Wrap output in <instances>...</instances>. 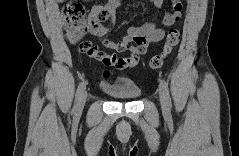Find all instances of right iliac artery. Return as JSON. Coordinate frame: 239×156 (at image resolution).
Wrapping results in <instances>:
<instances>
[{
  "mask_svg": "<svg viewBox=\"0 0 239 156\" xmlns=\"http://www.w3.org/2000/svg\"><path fill=\"white\" fill-rule=\"evenodd\" d=\"M85 82H81L77 88V91H76V96H75V103H74V106H73V113L76 114L77 113V110H78V105H79V101L81 99V96L83 94V91L85 89Z\"/></svg>",
  "mask_w": 239,
  "mask_h": 156,
  "instance_id": "obj_1",
  "label": "right iliac artery"
}]
</instances>
